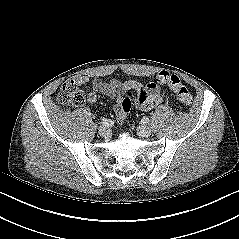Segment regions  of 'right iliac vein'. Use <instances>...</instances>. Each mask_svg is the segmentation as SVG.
Here are the masks:
<instances>
[{
  "instance_id": "obj_1",
  "label": "right iliac vein",
  "mask_w": 239,
  "mask_h": 239,
  "mask_svg": "<svg viewBox=\"0 0 239 239\" xmlns=\"http://www.w3.org/2000/svg\"><path fill=\"white\" fill-rule=\"evenodd\" d=\"M98 133L102 137H107L110 135V129L107 128L106 126H100L98 129Z\"/></svg>"
}]
</instances>
